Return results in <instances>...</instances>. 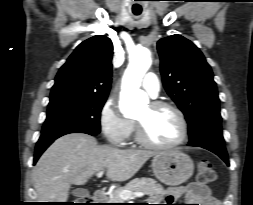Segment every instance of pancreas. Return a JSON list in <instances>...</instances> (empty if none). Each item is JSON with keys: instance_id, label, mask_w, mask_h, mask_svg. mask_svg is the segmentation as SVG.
Listing matches in <instances>:
<instances>
[{"instance_id": "obj_1", "label": "pancreas", "mask_w": 253, "mask_h": 205, "mask_svg": "<svg viewBox=\"0 0 253 205\" xmlns=\"http://www.w3.org/2000/svg\"><path fill=\"white\" fill-rule=\"evenodd\" d=\"M143 192L149 196V201H161L166 191L152 178H135L124 187L118 188L112 192L108 203H124L119 194L121 191Z\"/></svg>"}]
</instances>
